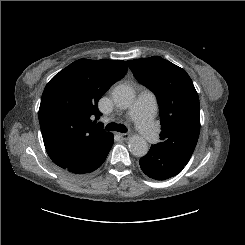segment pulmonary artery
Segmentation results:
<instances>
[{
	"label": "pulmonary artery",
	"mask_w": 245,
	"mask_h": 245,
	"mask_svg": "<svg viewBox=\"0 0 245 245\" xmlns=\"http://www.w3.org/2000/svg\"><path fill=\"white\" fill-rule=\"evenodd\" d=\"M156 96L150 90H143L134 103L124 112L125 117L135 122L141 137L149 144L157 139L154 115L156 111Z\"/></svg>",
	"instance_id": "pulmonary-artery-1"
}]
</instances>
